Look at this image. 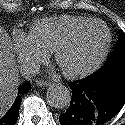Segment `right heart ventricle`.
Wrapping results in <instances>:
<instances>
[{
	"label": "right heart ventricle",
	"mask_w": 125,
	"mask_h": 125,
	"mask_svg": "<svg viewBox=\"0 0 125 125\" xmlns=\"http://www.w3.org/2000/svg\"><path fill=\"white\" fill-rule=\"evenodd\" d=\"M89 19L70 15L39 19L32 24L30 35L41 50L50 53L61 38Z\"/></svg>",
	"instance_id": "1"
}]
</instances>
